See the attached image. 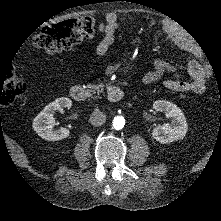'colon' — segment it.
Returning a JSON list of instances; mask_svg holds the SVG:
<instances>
[{"label": "colon", "mask_w": 221, "mask_h": 221, "mask_svg": "<svg viewBox=\"0 0 221 221\" xmlns=\"http://www.w3.org/2000/svg\"><path fill=\"white\" fill-rule=\"evenodd\" d=\"M94 29L95 23L91 17L52 23L40 28L35 36V45L48 54H56L92 39ZM26 92V82L17 73H10L7 78L0 79V104L10 105Z\"/></svg>", "instance_id": "1"}]
</instances>
